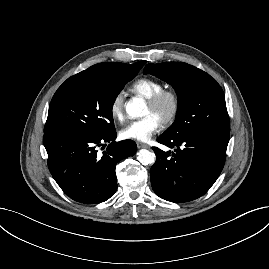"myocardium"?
Listing matches in <instances>:
<instances>
[{"label":"myocardium","mask_w":269,"mask_h":269,"mask_svg":"<svg viewBox=\"0 0 269 269\" xmlns=\"http://www.w3.org/2000/svg\"><path fill=\"white\" fill-rule=\"evenodd\" d=\"M165 103L169 104V110L162 118L161 123L168 127L174 123L180 111L181 98L179 93L174 89H161L147 99V105L154 110L159 109Z\"/></svg>","instance_id":"obj_1"}]
</instances>
